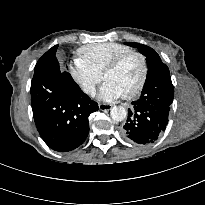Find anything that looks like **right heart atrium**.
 <instances>
[{
    "label": "right heart atrium",
    "instance_id": "right-heart-atrium-1",
    "mask_svg": "<svg viewBox=\"0 0 205 205\" xmlns=\"http://www.w3.org/2000/svg\"><path fill=\"white\" fill-rule=\"evenodd\" d=\"M69 73L73 81L86 95H94L96 87L101 81V75L99 73L79 58L73 60L70 64Z\"/></svg>",
    "mask_w": 205,
    "mask_h": 205
}]
</instances>
